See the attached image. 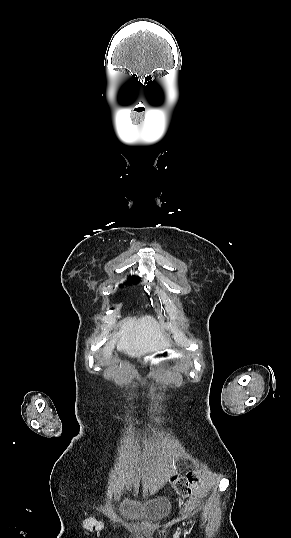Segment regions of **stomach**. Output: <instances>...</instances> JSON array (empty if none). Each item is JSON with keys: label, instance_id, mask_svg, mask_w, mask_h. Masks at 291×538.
<instances>
[{"label": "stomach", "instance_id": "1", "mask_svg": "<svg viewBox=\"0 0 291 538\" xmlns=\"http://www.w3.org/2000/svg\"><path fill=\"white\" fill-rule=\"evenodd\" d=\"M142 359L144 364L150 363L152 367H157L156 369L159 370L163 369L162 367H159L162 362L175 360L177 361V365L185 359V354L182 350L177 348H163L143 355Z\"/></svg>", "mask_w": 291, "mask_h": 538}]
</instances>
